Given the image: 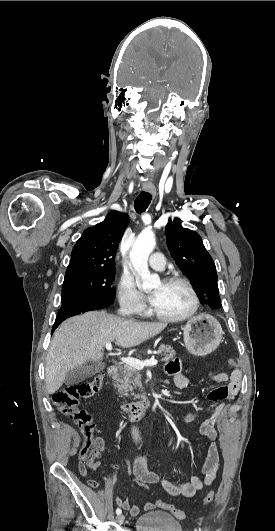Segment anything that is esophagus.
<instances>
[{
	"instance_id": "1",
	"label": "esophagus",
	"mask_w": 275,
	"mask_h": 531,
	"mask_svg": "<svg viewBox=\"0 0 275 531\" xmlns=\"http://www.w3.org/2000/svg\"><path fill=\"white\" fill-rule=\"evenodd\" d=\"M142 189L143 191H146L147 193L152 194L153 197L156 196L157 191L154 185L143 184Z\"/></svg>"
}]
</instances>
